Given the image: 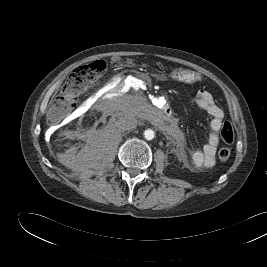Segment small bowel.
<instances>
[{
    "mask_svg": "<svg viewBox=\"0 0 267 267\" xmlns=\"http://www.w3.org/2000/svg\"><path fill=\"white\" fill-rule=\"evenodd\" d=\"M194 101L200 109L211 116V133L207 144L201 150H194L188 157L185 155H182V157L194 169H210L215 164V154L220 143L218 132L222 127L225 115L212 94L205 89L197 91Z\"/></svg>",
    "mask_w": 267,
    "mask_h": 267,
    "instance_id": "c3829d8e",
    "label": "small bowel"
}]
</instances>
